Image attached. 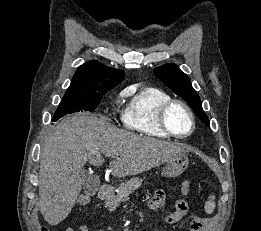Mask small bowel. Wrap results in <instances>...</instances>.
I'll return each instance as SVG.
<instances>
[{
  "label": "small bowel",
  "instance_id": "c3829d8e",
  "mask_svg": "<svg viewBox=\"0 0 261 231\" xmlns=\"http://www.w3.org/2000/svg\"><path fill=\"white\" fill-rule=\"evenodd\" d=\"M165 203V195L162 191H157L149 200L148 207L152 213H158ZM182 217H188L190 220L196 218L193 213L189 210V205L186 200L179 198L175 201L174 210L171 214L164 218V222L167 224H174L179 221ZM213 220H208V226L201 229L200 231H213ZM47 231V230H44ZM64 231H88L87 226L81 225L77 228L68 227ZM102 231V230H95Z\"/></svg>",
  "mask_w": 261,
  "mask_h": 231
}]
</instances>
